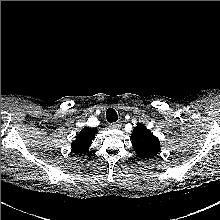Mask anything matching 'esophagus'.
<instances>
[{"instance_id": "obj_1", "label": "esophagus", "mask_w": 220, "mask_h": 220, "mask_svg": "<svg viewBox=\"0 0 220 220\" xmlns=\"http://www.w3.org/2000/svg\"><path fill=\"white\" fill-rule=\"evenodd\" d=\"M121 123L120 122H112L109 124V127L112 128V129H119L121 128Z\"/></svg>"}]
</instances>
